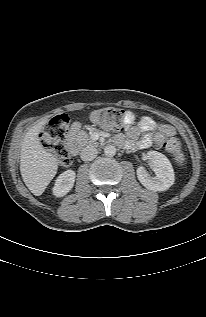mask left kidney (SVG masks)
I'll return each mask as SVG.
<instances>
[{
  "mask_svg": "<svg viewBox=\"0 0 206 317\" xmlns=\"http://www.w3.org/2000/svg\"><path fill=\"white\" fill-rule=\"evenodd\" d=\"M153 166L155 176L152 177L144 167L137 169V177L140 183L153 191H165L174 184V171L168 158L160 152L148 151L144 157Z\"/></svg>",
  "mask_w": 206,
  "mask_h": 317,
  "instance_id": "1",
  "label": "left kidney"
}]
</instances>
